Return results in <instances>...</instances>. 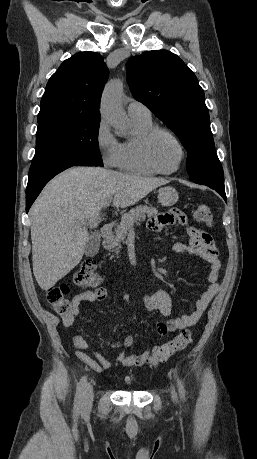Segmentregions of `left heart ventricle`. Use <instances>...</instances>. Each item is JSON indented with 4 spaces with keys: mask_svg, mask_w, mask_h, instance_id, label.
I'll return each instance as SVG.
<instances>
[{
    "mask_svg": "<svg viewBox=\"0 0 257 459\" xmlns=\"http://www.w3.org/2000/svg\"><path fill=\"white\" fill-rule=\"evenodd\" d=\"M152 156L157 166L163 170L174 169L180 159L177 144L167 135H158L152 144Z\"/></svg>",
    "mask_w": 257,
    "mask_h": 459,
    "instance_id": "b2bd125f",
    "label": "left heart ventricle"
}]
</instances>
